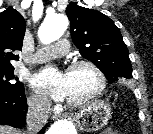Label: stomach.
<instances>
[{"label": "stomach", "instance_id": "0dacf381", "mask_svg": "<svg viewBox=\"0 0 153 134\" xmlns=\"http://www.w3.org/2000/svg\"><path fill=\"white\" fill-rule=\"evenodd\" d=\"M111 117L109 104L104 101H93L83 106L76 114V122L81 130L95 132L107 125Z\"/></svg>", "mask_w": 153, "mask_h": 134}]
</instances>
